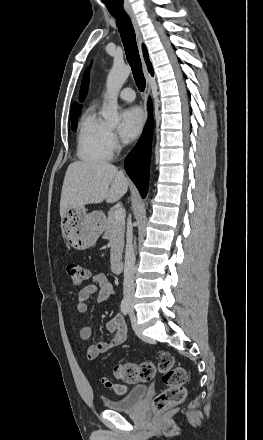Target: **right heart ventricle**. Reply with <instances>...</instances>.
<instances>
[{
    "instance_id": "right-heart-ventricle-1",
    "label": "right heart ventricle",
    "mask_w": 263,
    "mask_h": 440,
    "mask_svg": "<svg viewBox=\"0 0 263 440\" xmlns=\"http://www.w3.org/2000/svg\"><path fill=\"white\" fill-rule=\"evenodd\" d=\"M108 126L89 108L82 116L77 135V155L84 162H104L112 157Z\"/></svg>"
}]
</instances>
